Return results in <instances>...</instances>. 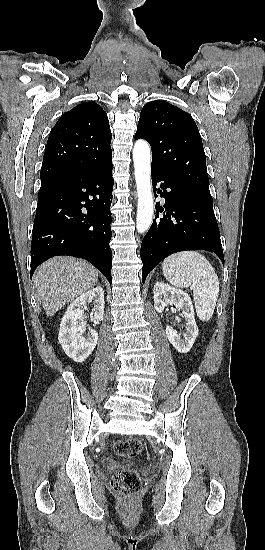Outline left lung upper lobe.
<instances>
[{"mask_svg":"<svg viewBox=\"0 0 265 550\" xmlns=\"http://www.w3.org/2000/svg\"><path fill=\"white\" fill-rule=\"evenodd\" d=\"M139 138L151 146L152 167L174 183L212 199L202 139L188 113L164 100L147 103L135 134Z\"/></svg>","mask_w":265,"mask_h":550,"instance_id":"5c2ea615","label":"left lung upper lobe"}]
</instances>
